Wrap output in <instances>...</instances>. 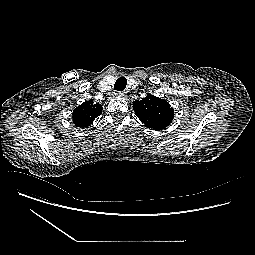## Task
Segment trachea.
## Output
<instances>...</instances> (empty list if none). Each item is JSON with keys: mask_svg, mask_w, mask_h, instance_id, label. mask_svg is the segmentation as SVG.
I'll return each instance as SVG.
<instances>
[{"mask_svg": "<svg viewBox=\"0 0 255 255\" xmlns=\"http://www.w3.org/2000/svg\"><path fill=\"white\" fill-rule=\"evenodd\" d=\"M127 79L125 77H119L114 85V89L117 91H123L126 88Z\"/></svg>", "mask_w": 255, "mask_h": 255, "instance_id": "obj_1", "label": "trachea"}]
</instances>
